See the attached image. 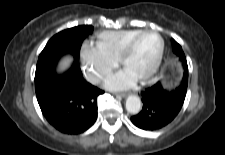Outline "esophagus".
Segmentation results:
<instances>
[{
	"instance_id": "esophagus-1",
	"label": "esophagus",
	"mask_w": 225,
	"mask_h": 155,
	"mask_svg": "<svg viewBox=\"0 0 225 155\" xmlns=\"http://www.w3.org/2000/svg\"><path fill=\"white\" fill-rule=\"evenodd\" d=\"M128 94L127 93H117L116 96L119 97H126Z\"/></svg>"
}]
</instances>
